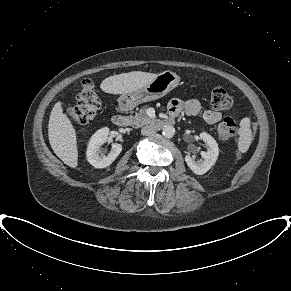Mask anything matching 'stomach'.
Instances as JSON below:
<instances>
[{
    "mask_svg": "<svg viewBox=\"0 0 291 291\" xmlns=\"http://www.w3.org/2000/svg\"><path fill=\"white\" fill-rule=\"evenodd\" d=\"M180 77L172 71H164L148 85L136 91L124 93L118 99L120 108L131 110L137 105L159 99L178 86Z\"/></svg>",
    "mask_w": 291,
    "mask_h": 291,
    "instance_id": "stomach-1",
    "label": "stomach"
}]
</instances>
